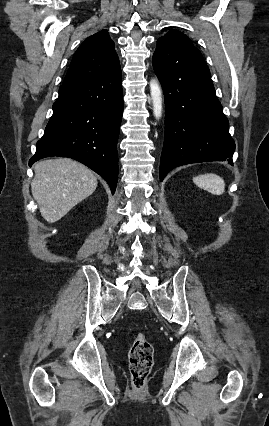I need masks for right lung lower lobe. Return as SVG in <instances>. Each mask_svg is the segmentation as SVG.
<instances>
[{"mask_svg":"<svg viewBox=\"0 0 269 426\" xmlns=\"http://www.w3.org/2000/svg\"><path fill=\"white\" fill-rule=\"evenodd\" d=\"M122 114L121 69L102 78L62 84L29 165L50 156L75 159L101 175L114 194Z\"/></svg>","mask_w":269,"mask_h":426,"instance_id":"obj_1","label":"right lung lower lobe"}]
</instances>
